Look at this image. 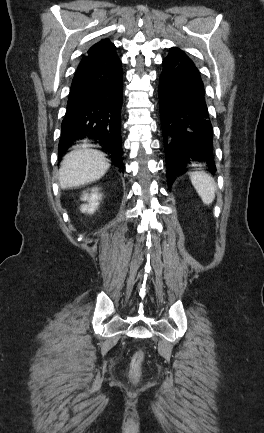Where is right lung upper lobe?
Returning <instances> with one entry per match:
<instances>
[{
	"label": "right lung upper lobe",
	"mask_w": 264,
	"mask_h": 433,
	"mask_svg": "<svg viewBox=\"0 0 264 433\" xmlns=\"http://www.w3.org/2000/svg\"><path fill=\"white\" fill-rule=\"evenodd\" d=\"M90 52H97L104 56H115L116 54V47L113 43L110 42L108 39H103L99 41L98 43L94 44L87 53ZM61 156V155H60Z\"/></svg>",
	"instance_id": "right-lung-upper-lobe-1"
}]
</instances>
